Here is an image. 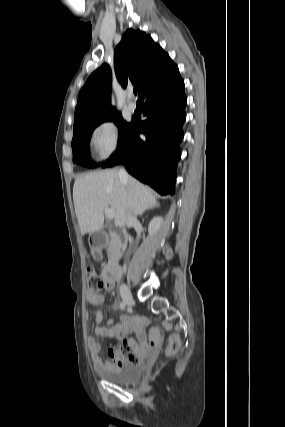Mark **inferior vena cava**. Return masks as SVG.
Listing matches in <instances>:
<instances>
[{
  "mask_svg": "<svg viewBox=\"0 0 285 427\" xmlns=\"http://www.w3.org/2000/svg\"><path fill=\"white\" fill-rule=\"evenodd\" d=\"M119 178H120V180L122 181V182H127L128 181V174H127V172L123 169V168H121L120 170H119ZM137 222V219H136V216L132 213V212H129L128 213V216H127V226L128 227H131V226H133L135 223Z\"/></svg>",
  "mask_w": 285,
  "mask_h": 427,
  "instance_id": "obj_1",
  "label": "inferior vena cava"
}]
</instances>
